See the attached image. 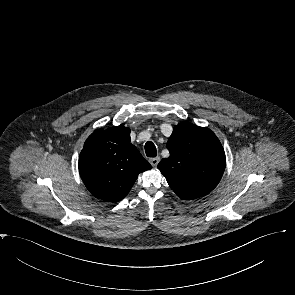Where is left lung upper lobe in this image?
Instances as JSON below:
<instances>
[{
    "instance_id": "1",
    "label": "left lung upper lobe",
    "mask_w": 295,
    "mask_h": 295,
    "mask_svg": "<svg viewBox=\"0 0 295 295\" xmlns=\"http://www.w3.org/2000/svg\"><path fill=\"white\" fill-rule=\"evenodd\" d=\"M170 152L158 164L170 187L181 199H196L219 183L226 165L224 149L208 128L182 122L166 144Z\"/></svg>"
}]
</instances>
